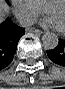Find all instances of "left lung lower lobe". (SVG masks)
<instances>
[{
	"label": "left lung lower lobe",
	"mask_w": 65,
	"mask_h": 89,
	"mask_svg": "<svg viewBox=\"0 0 65 89\" xmlns=\"http://www.w3.org/2000/svg\"><path fill=\"white\" fill-rule=\"evenodd\" d=\"M47 55L51 61L65 67V38L59 40L56 48L48 50Z\"/></svg>",
	"instance_id": "0a47b994"
}]
</instances>
